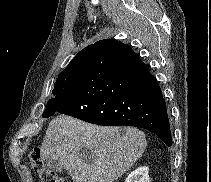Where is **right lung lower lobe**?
<instances>
[{
    "instance_id": "obj_1",
    "label": "right lung lower lobe",
    "mask_w": 211,
    "mask_h": 182,
    "mask_svg": "<svg viewBox=\"0 0 211 182\" xmlns=\"http://www.w3.org/2000/svg\"><path fill=\"white\" fill-rule=\"evenodd\" d=\"M55 112L98 125L145 128L172 145L156 79L131 48L116 40L93 44L75 89L56 101Z\"/></svg>"
}]
</instances>
